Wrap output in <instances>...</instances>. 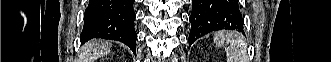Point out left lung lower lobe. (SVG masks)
I'll return each mask as SVG.
<instances>
[{
  "label": "left lung lower lobe",
  "mask_w": 331,
  "mask_h": 62,
  "mask_svg": "<svg viewBox=\"0 0 331 62\" xmlns=\"http://www.w3.org/2000/svg\"><path fill=\"white\" fill-rule=\"evenodd\" d=\"M189 46L198 38L221 29L243 31L238 0H192Z\"/></svg>",
  "instance_id": "left-lung-lower-lobe-1"
}]
</instances>
